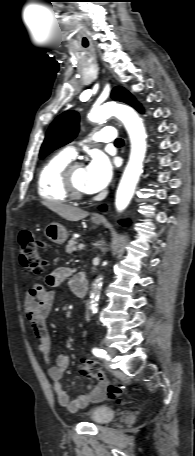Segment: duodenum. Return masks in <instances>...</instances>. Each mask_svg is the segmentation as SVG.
I'll return each instance as SVG.
<instances>
[{
	"label": "duodenum",
	"instance_id": "410a0bca",
	"mask_svg": "<svg viewBox=\"0 0 195 456\" xmlns=\"http://www.w3.org/2000/svg\"><path fill=\"white\" fill-rule=\"evenodd\" d=\"M71 289L79 298L86 296L88 291V281L84 273H78L72 278Z\"/></svg>",
	"mask_w": 195,
	"mask_h": 456
}]
</instances>
